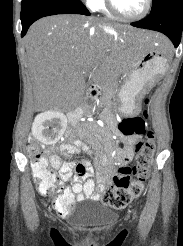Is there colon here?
<instances>
[{
  "label": "colon",
  "instance_id": "colon-1",
  "mask_svg": "<svg viewBox=\"0 0 183 246\" xmlns=\"http://www.w3.org/2000/svg\"><path fill=\"white\" fill-rule=\"evenodd\" d=\"M147 119L146 111L143 116L125 117L119 123V130L124 135L145 134ZM155 147L152 132H147L146 138L136 145V163L120 167L112 182H105L101 197L104 205L113 209H122L141 194L152 165ZM28 151L32 161L33 174L40 191L51 193L56 181L55 174L49 171L48 163L37 145L30 144ZM54 205L58 211L73 207L72 201L61 195L54 199Z\"/></svg>",
  "mask_w": 183,
  "mask_h": 246
}]
</instances>
